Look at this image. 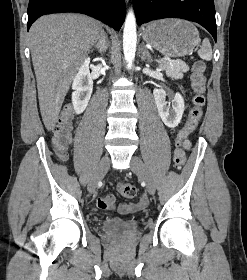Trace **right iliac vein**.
<instances>
[{
  "label": "right iliac vein",
  "instance_id": "obj_1",
  "mask_svg": "<svg viewBox=\"0 0 247 280\" xmlns=\"http://www.w3.org/2000/svg\"><path fill=\"white\" fill-rule=\"evenodd\" d=\"M110 166V158L105 156L101 159L98 166L96 167L94 174L89 182V191L93 192L97 186V183L104 177Z\"/></svg>",
  "mask_w": 247,
  "mask_h": 280
}]
</instances>
